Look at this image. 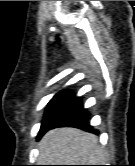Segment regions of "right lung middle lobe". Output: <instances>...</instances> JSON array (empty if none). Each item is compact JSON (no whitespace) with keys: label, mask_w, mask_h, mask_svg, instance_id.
<instances>
[{"label":"right lung middle lobe","mask_w":135,"mask_h":166,"mask_svg":"<svg viewBox=\"0 0 135 166\" xmlns=\"http://www.w3.org/2000/svg\"><path fill=\"white\" fill-rule=\"evenodd\" d=\"M71 100L69 92H61L54 96L47 106L40 130L56 121L67 110Z\"/></svg>","instance_id":"obj_1"}]
</instances>
